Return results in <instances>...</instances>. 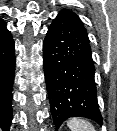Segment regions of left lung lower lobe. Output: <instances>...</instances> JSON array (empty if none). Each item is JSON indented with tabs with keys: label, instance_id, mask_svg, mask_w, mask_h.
<instances>
[{
	"label": "left lung lower lobe",
	"instance_id": "1",
	"mask_svg": "<svg viewBox=\"0 0 117 131\" xmlns=\"http://www.w3.org/2000/svg\"><path fill=\"white\" fill-rule=\"evenodd\" d=\"M43 62L56 126L72 116L102 125L89 38L76 13L62 10L52 21L43 43Z\"/></svg>",
	"mask_w": 117,
	"mask_h": 131
}]
</instances>
